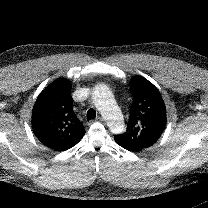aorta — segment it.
I'll return each mask as SVG.
<instances>
[{"label":"aorta","mask_w":208,"mask_h":208,"mask_svg":"<svg viewBox=\"0 0 208 208\" xmlns=\"http://www.w3.org/2000/svg\"><path fill=\"white\" fill-rule=\"evenodd\" d=\"M92 100L101 115L108 121L113 133L124 131L123 115L111 90L105 84H98L93 89Z\"/></svg>","instance_id":"obj_1"}]
</instances>
